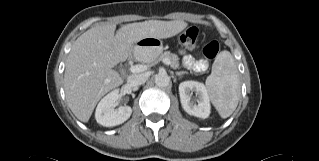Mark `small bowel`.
<instances>
[{"mask_svg":"<svg viewBox=\"0 0 319 161\" xmlns=\"http://www.w3.org/2000/svg\"><path fill=\"white\" fill-rule=\"evenodd\" d=\"M182 66L192 68L194 70H205L207 63L202 59H195L192 55L182 50Z\"/></svg>","mask_w":319,"mask_h":161,"instance_id":"1","label":"small bowel"}]
</instances>
